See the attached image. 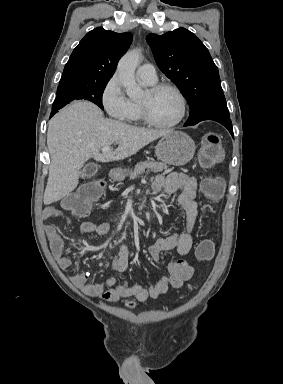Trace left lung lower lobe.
I'll return each instance as SVG.
<instances>
[{
    "instance_id": "0a47b994",
    "label": "left lung lower lobe",
    "mask_w": 283,
    "mask_h": 384,
    "mask_svg": "<svg viewBox=\"0 0 283 384\" xmlns=\"http://www.w3.org/2000/svg\"><path fill=\"white\" fill-rule=\"evenodd\" d=\"M211 120L217 121V122L221 123L223 126H225L228 129V131L230 132V134L232 135V137H233V129H232V123H231L230 118H227V119H211ZM184 126H191V125H184Z\"/></svg>"
}]
</instances>
